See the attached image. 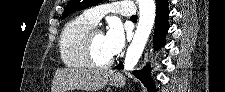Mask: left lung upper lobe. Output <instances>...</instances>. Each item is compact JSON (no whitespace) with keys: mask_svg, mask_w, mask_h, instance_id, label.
<instances>
[{"mask_svg":"<svg viewBox=\"0 0 225 92\" xmlns=\"http://www.w3.org/2000/svg\"><path fill=\"white\" fill-rule=\"evenodd\" d=\"M101 1L102 0H70L64 10L62 19H64L73 12L88 8L90 6H94L100 3Z\"/></svg>","mask_w":225,"mask_h":92,"instance_id":"obj_1","label":"left lung upper lobe"}]
</instances>
